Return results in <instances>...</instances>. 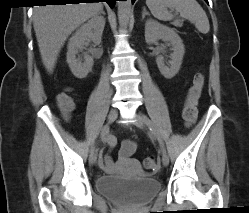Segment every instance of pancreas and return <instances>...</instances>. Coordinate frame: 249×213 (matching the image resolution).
<instances>
[{
  "instance_id": "cf45deb5",
  "label": "pancreas",
  "mask_w": 249,
  "mask_h": 213,
  "mask_svg": "<svg viewBox=\"0 0 249 213\" xmlns=\"http://www.w3.org/2000/svg\"><path fill=\"white\" fill-rule=\"evenodd\" d=\"M182 22L181 21H175L174 23H173V25L174 26H176V27H182Z\"/></svg>"
}]
</instances>
